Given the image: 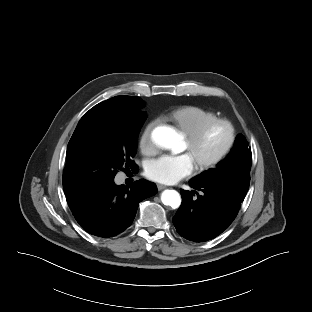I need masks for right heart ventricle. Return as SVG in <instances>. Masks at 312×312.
Returning a JSON list of instances; mask_svg holds the SVG:
<instances>
[{
  "instance_id": "right-heart-ventricle-1",
  "label": "right heart ventricle",
  "mask_w": 312,
  "mask_h": 312,
  "mask_svg": "<svg viewBox=\"0 0 312 312\" xmlns=\"http://www.w3.org/2000/svg\"><path fill=\"white\" fill-rule=\"evenodd\" d=\"M217 118V114L198 106L176 107L161 116L163 121L171 123L184 135H188L208 121Z\"/></svg>"
}]
</instances>
